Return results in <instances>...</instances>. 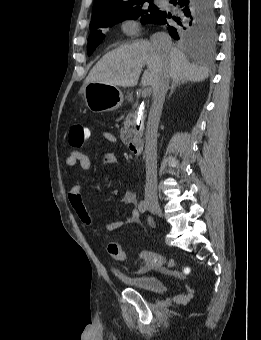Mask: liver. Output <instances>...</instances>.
<instances>
[{"label": "liver", "instance_id": "6515ba94", "mask_svg": "<svg viewBox=\"0 0 261 340\" xmlns=\"http://www.w3.org/2000/svg\"><path fill=\"white\" fill-rule=\"evenodd\" d=\"M141 83L156 86L163 75L177 82H199L208 77V69L190 64L185 54L172 47L168 54L160 55L147 40L120 46L105 54L91 69L84 85L92 82L113 86L134 87L144 66Z\"/></svg>", "mask_w": 261, "mask_h": 340}]
</instances>
